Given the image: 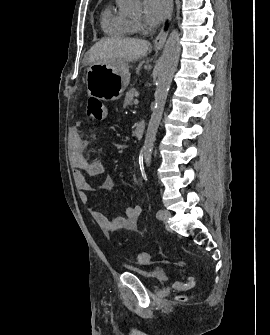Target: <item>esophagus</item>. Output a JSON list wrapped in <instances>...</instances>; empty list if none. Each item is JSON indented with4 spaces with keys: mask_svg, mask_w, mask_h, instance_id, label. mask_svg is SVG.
<instances>
[{
    "mask_svg": "<svg viewBox=\"0 0 270 335\" xmlns=\"http://www.w3.org/2000/svg\"><path fill=\"white\" fill-rule=\"evenodd\" d=\"M173 0H168V9L167 14L163 20V25L161 31L157 35L156 39L154 40V45L157 49L162 48L165 44L167 35L169 33L171 22H172V14H173Z\"/></svg>",
    "mask_w": 270,
    "mask_h": 335,
    "instance_id": "obj_1",
    "label": "esophagus"
}]
</instances>
